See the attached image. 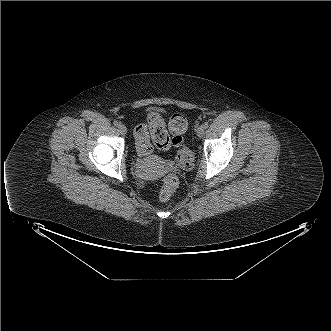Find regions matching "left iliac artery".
Returning <instances> with one entry per match:
<instances>
[{
	"mask_svg": "<svg viewBox=\"0 0 331 331\" xmlns=\"http://www.w3.org/2000/svg\"><path fill=\"white\" fill-rule=\"evenodd\" d=\"M203 126H204V128H207V127L209 126V123H208V122H205V123L203 124Z\"/></svg>",
	"mask_w": 331,
	"mask_h": 331,
	"instance_id": "obj_1",
	"label": "left iliac artery"
}]
</instances>
